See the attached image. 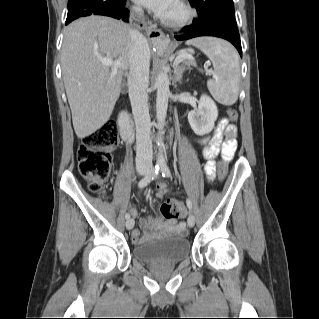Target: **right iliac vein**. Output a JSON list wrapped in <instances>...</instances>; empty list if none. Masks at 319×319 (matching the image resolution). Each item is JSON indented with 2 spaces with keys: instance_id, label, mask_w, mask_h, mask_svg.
Instances as JSON below:
<instances>
[{
  "instance_id": "1",
  "label": "right iliac vein",
  "mask_w": 319,
  "mask_h": 319,
  "mask_svg": "<svg viewBox=\"0 0 319 319\" xmlns=\"http://www.w3.org/2000/svg\"><path fill=\"white\" fill-rule=\"evenodd\" d=\"M140 174L141 175H146L147 174V170L146 169H141L140 170ZM134 226V220L132 218H129L127 221H126V228L128 230L132 229Z\"/></svg>"
}]
</instances>
